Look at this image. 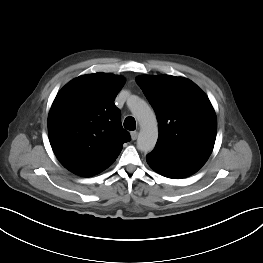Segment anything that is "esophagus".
Instances as JSON below:
<instances>
[{
    "instance_id": "obj_1",
    "label": "esophagus",
    "mask_w": 263,
    "mask_h": 263,
    "mask_svg": "<svg viewBox=\"0 0 263 263\" xmlns=\"http://www.w3.org/2000/svg\"><path fill=\"white\" fill-rule=\"evenodd\" d=\"M130 135H131V139L132 140H136L137 137H138V132L137 131H132Z\"/></svg>"
}]
</instances>
